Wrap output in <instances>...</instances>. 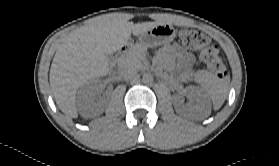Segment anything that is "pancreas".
Returning a JSON list of instances; mask_svg holds the SVG:
<instances>
[{"mask_svg":"<svg viewBox=\"0 0 279 166\" xmlns=\"http://www.w3.org/2000/svg\"><path fill=\"white\" fill-rule=\"evenodd\" d=\"M145 51H146V47L140 44L134 45L133 48L120 59L119 62L120 67L123 69L141 68Z\"/></svg>","mask_w":279,"mask_h":166,"instance_id":"1","label":"pancreas"}]
</instances>
